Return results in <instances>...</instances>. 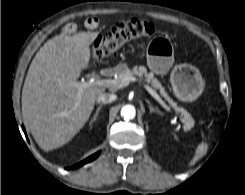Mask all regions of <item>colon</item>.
Instances as JSON below:
<instances>
[{
    "mask_svg": "<svg viewBox=\"0 0 245 195\" xmlns=\"http://www.w3.org/2000/svg\"><path fill=\"white\" fill-rule=\"evenodd\" d=\"M155 32L150 22L132 19L117 23L103 38H98L91 49V62L97 63L115 54L127 43L150 38Z\"/></svg>",
    "mask_w": 245,
    "mask_h": 195,
    "instance_id": "5ec220e1",
    "label": "colon"
}]
</instances>
